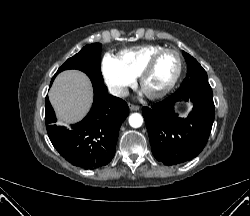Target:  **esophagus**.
<instances>
[{
	"label": "esophagus",
	"instance_id": "1",
	"mask_svg": "<svg viewBox=\"0 0 250 216\" xmlns=\"http://www.w3.org/2000/svg\"><path fill=\"white\" fill-rule=\"evenodd\" d=\"M129 108H130V110H132V111H138V110L140 109L139 106L134 105V104H129Z\"/></svg>",
	"mask_w": 250,
	"mask_h": 216
}]
</instances>
